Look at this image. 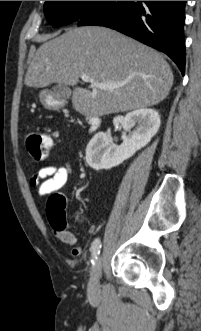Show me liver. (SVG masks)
<instances>
[{"instance_id":"liver-1","label":"liver","mask_w":201,"mask_h":331,"mask_svg":"<svg viewBox=\"0 0 201 331\" xmlns=\"http://www.w3.org/2000/svg\"><path fill=\"white\" fill-rule=\"evenodd\" d=\"M82 74L100 83L127 82L116 89L76 87ZM24 83L44 88L69 85L73 108L100 117L145 109L163 101L173 84L164 57L152 48L104 27L71 28L44 42L29 64Z\"/></svg>"}]
</instances>
